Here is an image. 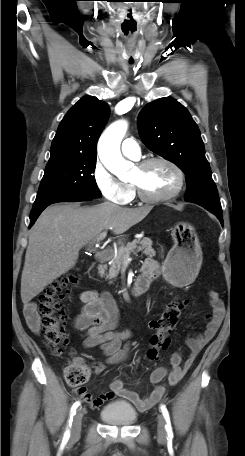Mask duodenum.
<instances>
[{"label":"duodenum","mask_w":245,"mask_h":456,"mask_svg":"<svg viewBox=\"0 0 245 456\" xmlns=\"http://www.w3.org/2000/svg\"><path fill=\"white\" fill-rule=\"evenodd\" d=\"M112 255V248H106L102 252H100L96 259L98 263H103L106 261L110 256ZM94 267H91L89 269V274L91 275L94 271ZM154 275L151 271H143V273L138 277L136 282L134 283V286L132 288V293L134 296H140L143 293L146 292L148 289Z\"/></svg>","instance_id":"1"}]
</instances>
